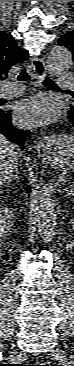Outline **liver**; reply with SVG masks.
Segmentation results:
<instances>
[{
	"instance_id": "obj_1",
	"label": "liver",
	"mask_w": 74,
	"mask_h": 366,
	"mask_svg": "<svg viewBox=\"0 0 74 366\" xmlns=\"http://www.w3.org/2000/svg\"><path fill=\"white\" fill-rule=\"evenodd\" d=\"M23 156L16 145L0 136V184L18 175V160Z\"/></svg>"
}]
</instances>
